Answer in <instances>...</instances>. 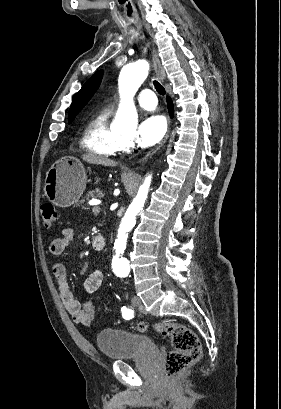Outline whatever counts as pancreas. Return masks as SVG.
Segmentation results:
<instances>
[{
  "mask_svg": "<svg viewBox=\"0 0 281 409\" xmlns=\"http://www.w3.org/2000/svg\"><path fill=\"white\" fill-rule=\"evenodd\" d=\"M102 196H104L103 190H99V188H94V190H89V192H87L85 198H87L88 200V198H102ZM83 200H81V202H83Z\"/></svg>",
  "mask_w": 281,
  "mask_h": 409,
  "instance_id": "cf45deb5",
  "label": "pancreas"
}]
</instances>
